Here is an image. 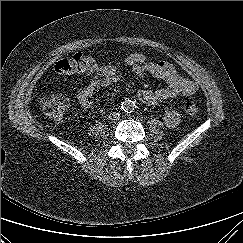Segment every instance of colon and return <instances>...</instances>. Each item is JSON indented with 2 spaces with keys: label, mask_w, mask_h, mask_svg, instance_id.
<instances>
[{
  "label": "colon",
  "mask_w": 243,
  "mask_h": 243,
  "mask_svg": "<svg viewBox=\"0 0 243 243\" xmlns=\"http://www.w3.org/2000/svg\"><path fill=\"white\" fill-rule=\"evenodd\" d=\"M55 71L62 75L91 73L103 78H108L118 74L119 65H101L91 57L76 53L71 57L57 61L55 64ZM41 105L44 113L49 118L56 122H61L64 120L68 110L69 100L63 93L48 91L42 95ZM184 111L188 116L194 117L199 111V106L194 100H187L184 103Z\"/></svg>",
  "instance_id": "5ec220e1"
}]
</instances>
